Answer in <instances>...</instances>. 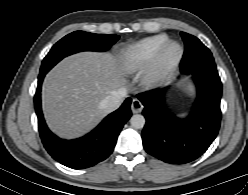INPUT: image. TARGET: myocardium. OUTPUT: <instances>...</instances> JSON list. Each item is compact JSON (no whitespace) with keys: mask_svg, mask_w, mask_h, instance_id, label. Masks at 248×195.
Wrapping results in <instances>:
<instances>
[{"mask_svg":"<svg viewBox=\"0 0 248 195\" xmlns=\"http://www.w3.org/2000/svg\"><path fill=\"white\" fill-rule=\"evenodd\" d=\"M177 46L179 53L172 61L166 60L170 47ZM184 57V48L181 43L175 40H168L158 51L151 65L142 76V81L148 86H157L167 79L181 64Z\"/></svg>","mask_w":248,"mask_h":195,"instance_id":"obj_1","label":"myocardium"}]
</instances>
